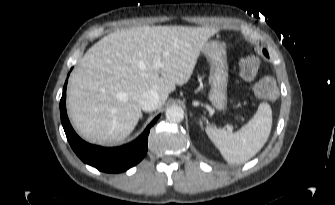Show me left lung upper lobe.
<instances>
[{
  "instance_id": "5c2ea615",
  "label": "left lung upper lobe",
  "mask_w": 335,
  "mask_h": 205,
  "mask_svg": "<svg viewBox=\"0 0 335 205\" xmlns=\"http://www.w3.org/2000/svg\"><path fill=\"white\" fill-rule=\"evenodd\" d=\"M263 53L265 54V56H268V52L266 50H263Z\"/></svg>"
}]
</instances>
